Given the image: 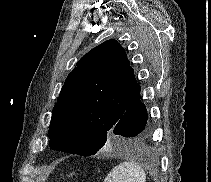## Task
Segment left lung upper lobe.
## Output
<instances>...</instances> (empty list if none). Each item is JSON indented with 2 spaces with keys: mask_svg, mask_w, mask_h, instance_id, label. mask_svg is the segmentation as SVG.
I'll use <instances>...</instances> for the list:
<instances>
[{
  "mask_svg": "<svg viewBox=\"0 0 211 182\" xmlns=\"http://www.w3.org/2000/svg\"><path fill=\"white\" fill-rule=\"evenodd\" d=\"M67 76L52 111L50 146L90 156L140 94L125 50L108 40L86 53Z\"/></svg>",
  "mask_w": 211,
  "mask_h": 182,
  "instance_id": "5c2ea615",
  "label": "left lung upper lobe"
}]
</instances>
